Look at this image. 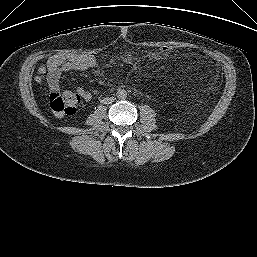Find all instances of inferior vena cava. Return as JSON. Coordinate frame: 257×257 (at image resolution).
<instances>
[{
    "label": "inferior vena cava",
    "instance_id": "obj_1",
    "mask_svg": "<svg viewBox=\"0 0 257 257\" xmlns=\"http://www.w3.org/2000/svg\"><path fill=\"white\" fill-rule=\"evenodd\" d=\"M114 101V98L113 97H107V98H104L101 102L102 103H105V104H110Z\"/></svg>",
    "mask_w": 257,
    "mask_h": 257
}]
</instances>
